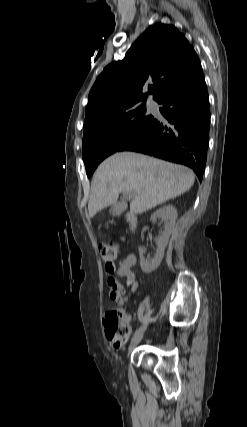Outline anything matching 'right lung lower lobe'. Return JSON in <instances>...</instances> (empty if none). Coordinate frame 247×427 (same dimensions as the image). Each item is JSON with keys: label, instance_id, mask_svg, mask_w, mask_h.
Returning <instances> with one entry per match:
<instances>
[{"label": "right lung lower lobe", "instance_id": "1", "mask_svg": "<svg viewBox=\"0 0 247 427\" xmlns=\"http://www.w3.org/2000/svg\"><path fill=\"white\" fill-rule=\"evenodd\" d=\"M166 119L148 126L119 151H135L186 165L203 178L209 144L210 109L203 72L181 83L158 102Z\"/></svg>", "mask_w": 247, "mask_h": 427}]
</instances>
